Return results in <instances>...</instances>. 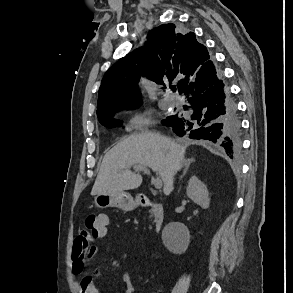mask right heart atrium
I'll use <instances>...</instances> for the list:
<instances>
[{
  "instance_id": "1",
  "label": "right heart atrium",
  "mask_w": 293,
  "mask_h": 293,
  "mask_svg": "<svg viewBox=\"0 0 293 293\" xmlns=\"http://www.w3.org/2000/svg\"><path fill=\"white\" fill-rule=\"evenodd\" d=\"M150 125H151V117H150V114L147 112L137 113L129 121V127L135 130L146 129Z\"/></svg>"
}]
</instances>
